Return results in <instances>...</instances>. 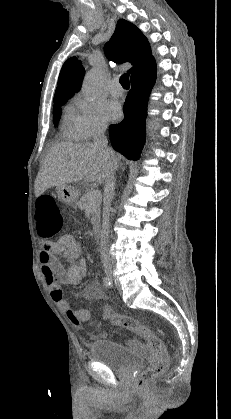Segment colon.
<instances>
[{
    "label": "colon",
    "mask_w": 231,
    "mask_h": 419,
    "mask_svg": "<svg viewBox=\"0 0 231 419\" xmlns=\"http://www.w3.org/2000/svg\"><path fill=\"white\" fill-rule=\"evenodd\" d=\"M62 224L63 217L56 199L51 195L40 196L36 205V226L39 235L43 239H51L59 233ZM67 315L74 325L81 326V319L72 309L67 311ZM103 317L113 325L135 332L149 345L152 359L137 382L140 388H147L155 378L165 372L168 366V355L161 338L131 316L105 309Z\"/></svg>",
    "instance_id": "colon-1"
}]
</instances>
